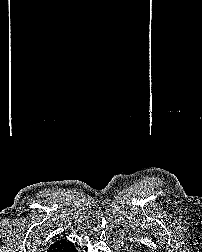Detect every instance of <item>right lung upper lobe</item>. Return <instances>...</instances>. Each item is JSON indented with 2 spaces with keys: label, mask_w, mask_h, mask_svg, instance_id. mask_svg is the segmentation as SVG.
<instances>
[{
  "label": "right lung upper lobe",
  "mask_w": 202,
  "mask_h": 252,
  "mask_svg": "<svg viewBox=\"0 0 202 252\" xmlns=\"http://www.w3.org/2000/svg\"><path fill=\"white\" fill-rule=\"evenodd\" d=\"M72 244H73L72 242L61 239L59 241H56L54 244H52L48 252H62V250L71 246Z\"/></svg>",
  "instance_id": "right-lung-upper-lobe-1"
}]
</instances>
